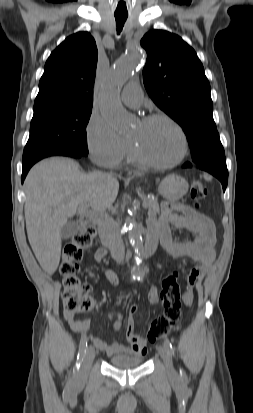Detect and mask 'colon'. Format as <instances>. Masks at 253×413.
<instances>
[{
	"label": "colon",
	"mask_w": 253,
	"mask_h": 413,
	"mask_svg": "<svg viewBox=\"0 0 253 413\" xmlns=\"http://www.w3.org/2000/svg\"><path fill=\"white\" fill-rule=\"evenodd\" d=\"M206 194L207 189L200 180L192 182L190 196L196 202V206H199V201ZM95 235L96 230L93 227L85 226L65 244L62 251L59 274L63 284L64 309L69 314L89 312L95 306L94 299L89 295L90 286L83 283L79 277V262L82 259L83 251L91 246ZM160 297L164 313L150 325L147 335L150 342H155L167 335L181 319L182 297L178 272H172L164 278Z\"/></svg>",
	"instance_id": "1"
}]
</instances>
